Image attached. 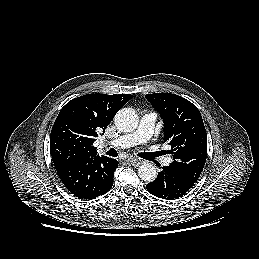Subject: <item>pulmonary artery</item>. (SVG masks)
Masks as SVG:
<instances>
[{"mask_svg": "<svg viewBox=\"0 0 259 259\" xmlns=\"http://www.w3.org/2000/svg\"><path fill=\"white\" fill-rule=\"evenodd\" d=\"M156 118L157 115L153 112H148L144 114L140 120V125L136 131L119 136L109 141V144L119 149L128 148L137 143H144L148 147V141L152 134ZM148 148V151H153L151 147ZM171 161L172 159L170 157L164 158L163 164L168 166L171 163Z\"/></svg>", "mask_w": 259, "mask_h": 259, "instance_id": "pulmonary-artery-1", "label": "pulmonary artery"}]
</instances>
